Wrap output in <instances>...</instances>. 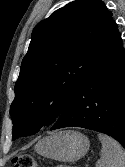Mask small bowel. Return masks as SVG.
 Here are the masks:
<instances>
[{"instance_id":"1","label":"small bowel","mask_w":125,"mask_h":167,"mask_svg":"<svg viewBox=\"0 0 125 167\" xmlns=\"http://www.w3.org/2000/svg\"><path fill=\"white\" fill-rule=\"evenodd\" d=\"M57 167H70V166H65V165H59Z\"/></svg>"}]
</instances>
